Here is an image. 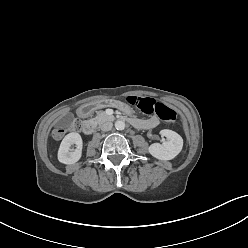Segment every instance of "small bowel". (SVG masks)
I'll return each instance as SVG.
<instances>
[{
  "label": "small bowel",
  "mask_w": 248,
  "mask_h": 248,
  "mask_svg": "<svg viewBox=\"0 0 248 248\" xmlns=\"http://www.w3.org/2000/svg\"><path fill=\"white\" fill-rule=\"evenodd\" d=\"M137 121H139V124H136L135 126L141 128H154L159 123V120L156 117H151L146 120H137Z\"/></svg>",
  "instance_id": "1"
}]
</instances>
